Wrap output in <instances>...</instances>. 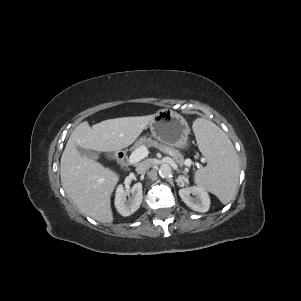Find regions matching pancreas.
I'll return each instance as SVG.
<instances>
[{
    "instance_id": "pancreas-1",
    "label": "pancreas",
    "mask_w": 301,
    "mask_h": 301,
    "mask_svg": "<svg viewBox=\"0 0 301 301\" xmlns=\"http://www.w3.org/2000/svg\"><path fill=\"white\" fill-rule=\"evenodd\" d=\"M141 146H146V147H154L157 148L159 150H161L162 152L166 153V154H170L172 155L174 161L176 163H178L180 166H182L184 164V157L183 155L176 149H174L173 147L167 146L165 144L159 143L156 140H153L150 137H140L135 144L132 146V150H136Z\"/></svg>"
}]
</instances>
